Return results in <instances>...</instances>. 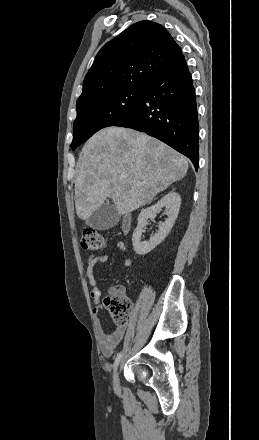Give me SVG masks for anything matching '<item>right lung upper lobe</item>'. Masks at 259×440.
<instances>
[{
	"mask_svg": "<svg viewBox=\"0 0 259 440\" xmlns=\"http://www.w3.org/2000/svg\"><path fill=\"white\" fill-rule=\"evenodd\" d=\"M183 57L160 24L139 21L106 43L87 73L77 108L112 92L148 88Z\"/></svg>",
	"mask_w": 259,
	"mask_h": 440,
	"instance_id": "obj_1",
	"label": "right lung upper lobe"
}]
</instances>
